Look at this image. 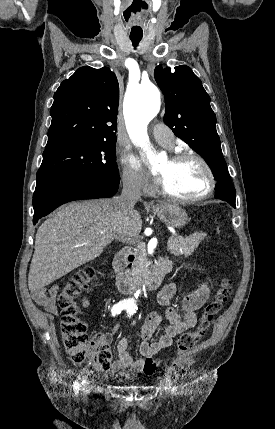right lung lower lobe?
<instances>
[{
	"mask_svg": "<svg viewBox=\"0 0 275 429\" xmlns=\"http://www.w3.org/2000/svg\"><path fill=\"white\" fill-rule=\"evenodd\" d=\"M118 184L97 177H76L35 190L33 223L36 224L41 217L69 201L112 197L118 191Z\"/></svg>",
	"mask_w": 275,
	"mask_h": 429,
	"instance_id": "right-lung-lower-lobe-1",
	"label": "right lung lower lobe"
}]
</instances>
